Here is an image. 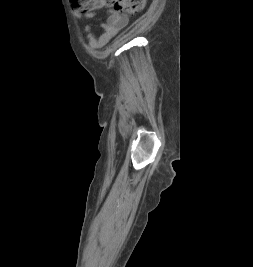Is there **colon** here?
Wrapping results in <instances>:
<instances>
[{
	"label": "colon",
	"instance_id": "obj_1",
	"mask_svg": "<svg viewBox=\"0 0 253 267\" xmlns=\"http://www.w3.org/2000/svg\"><path fill=\"white\" fill-rule=\"evenodd\" d=\"M71 7L81 12H90L102 7H112L123 13H137L145 5V0H70Z\"/></svg>",
	"mask_w": 253,
	"mask_h": 267
}]
</instances>
